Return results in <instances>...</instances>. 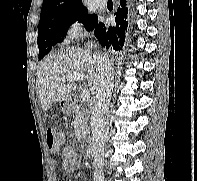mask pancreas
I'll return each instance as SVG.
<instances>
[{
  "label": "pancreas",
  "instance_id": "obj_1",
  "mask_svg": "<svg viewBox=\"0 0 197 181\" xmlns=\"http://www.w3.org/2000/svg\"><path fill=\"white\" fill-rule=\"evenodd\" d=\"M73 122L75 137L78 140H87L89 138V128L87 126V115L78 105L73 111Z\"/></svg>",
  "mask_w": 197,
  "mask_h": 181
}]
</instances>
